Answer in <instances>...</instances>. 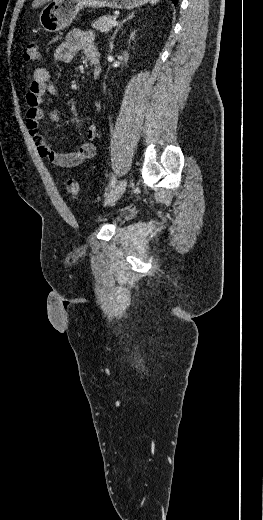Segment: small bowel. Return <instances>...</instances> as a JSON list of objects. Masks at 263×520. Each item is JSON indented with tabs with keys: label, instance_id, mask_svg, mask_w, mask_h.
I'll return each mask as SVG.
<instances>
[{
	"label": "small bowel",
	"instance_id": "small-bowel-1",
	"mask_svg": "<svg viewBox=\"0 0 263 520\" xmlns=\"http://www.w3.org/2000/svg\"><path fill=\"white\" fill-rule=\"evenodd\" d=\"M80 50H83L87 57L92 52H98L91 32L73 30L68 34L65 41L57 46L54 59L60 63H69ZM46 94L55 95L56 87L51 81L49 71L44 67H37L33 72V80L26 94V125L39 155L62 168H73L93 158L96 148L92 141L98 133V128L95 124H90L87 127L86 136L89 141L81 144L73 151L54 150L46 137L41 133L40 122L46 114L49 115L52 121H57L58 119L56 110L47 111L42 105Z\"/></svg>",
	"mask_w": 263,
	"mask_h": 520
}]
</instances>
